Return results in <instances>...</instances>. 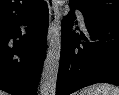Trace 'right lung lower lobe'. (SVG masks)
I'll list each match as a JSON object with an SVG mask.
<instances>
[{
	"instance_id": "obj_1",
	"label": "right lung lower lobe",
	"mask_w": 119,
	"mask_h": 95,
	"mask_svg": "<svg viewBox=\"0 0 119 95\" xmlns=\"http://www.w3.org/2000/svg\"><path fill=\"white\" fill-rule=\"evenodd\" d=\"M48 22L49 11L43 2L31 15L0 28L1 90L12 95H36Z\"/></svg>"
}]
</instances>
